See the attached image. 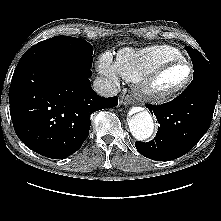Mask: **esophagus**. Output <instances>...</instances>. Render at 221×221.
<instances>
[{
    "label": "esophagus",
    "instance_id": "obj_1",
    "mask_svg": "<svg viewBox=\"0 0 221 221\" xmlns=\"http://www.w3.org/2000/svg\"><path fill=\"white\" fill-rule=\"evenodd\" d=\"M120 102L123 105H130L133 102V99L129 95H126V96H122Z\"/></svg>",
    "mask_w": 221,
    "mask_h": 221
}]
</instances>
